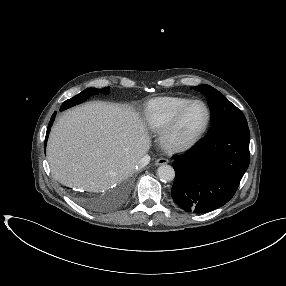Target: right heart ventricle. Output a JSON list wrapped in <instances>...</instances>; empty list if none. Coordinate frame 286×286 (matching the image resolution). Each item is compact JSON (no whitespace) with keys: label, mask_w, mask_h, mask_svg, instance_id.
Returning <instances> with one entry per match:
<instances>
[{"label":"right heart ventricle","mask_w":286,"mask_h":286,"mask_svg":"<svg viewBox=\"0 0 286 286\" xmlns=\"http://www.w3.org/2000/svg\"><path fill=\"white\" fill-rule=\"evenodd\" d=\"M192 100L185 97H157L144 107V121L152 132H161Z\"/></svg>","instance_id":"right-heart-ventricle-1"}]
</instances>
